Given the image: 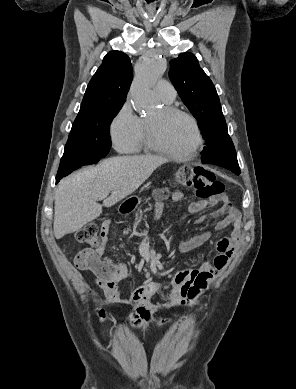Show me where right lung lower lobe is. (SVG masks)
<instances>
[{
	"mask_svg": "<svg viewBox=\"0 0 296 389\" xmlns=\"http://www.w3.org/2000/svg\"><path fill=\"white\" fill-rule=\"evenodd\" d=\"M72 171H58V174L56 176V184L60 181V179L62 177H65L67 176L69 173H71Z\"/></svg>",
	"mask_w": 296,
	"mask_h": 389,
	"instance_id": "right-lung-lower-lobe-1",
	"label": "right lung lower lobe"
}]
</instances>
